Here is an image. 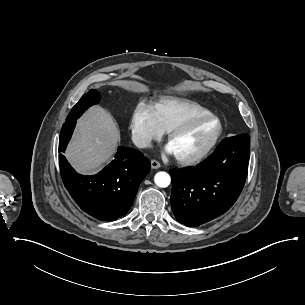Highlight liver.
Listing matches in <instances>:
<instances>
[{
	"label": "liver",
	"mask_w": 305,
	"mask_h": 305,
	"mask_svg": "<svg viewBox=\"0 0 305 305\" xmlns=\"http://www.w3.org/2000/svg\"><path fill=\"white\" fill-rule=\"evenodd\" d=\"M119 140L112 116L102 107L93 106L78 120L65 156L78 173L91 175L111 160Z\"/></svg>",
	"instance_id": "obj_1"
}]
</instances>
